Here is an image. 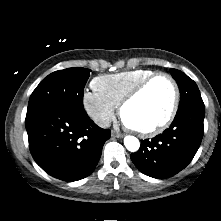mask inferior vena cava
Returning <instances> with one entry per match:
<instances>
[{"label":"inferior vena cava","instance_id":"inferior-vena-cava-1","mask_svg":"<svg viewBox=\"0 0 221 221\" xmlns=\"http://www.w3.org/2000/svg\"><path fill=\"white\" fill-rule=\"evenodd\" d=\"M95 122L102 128H108L111 126V120L105 116L96 117Z\"/></svg>","mask_w":221,"mask_h":221}]
</instances>
